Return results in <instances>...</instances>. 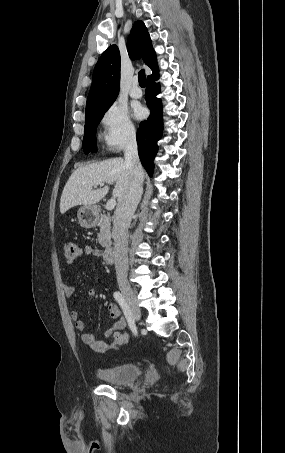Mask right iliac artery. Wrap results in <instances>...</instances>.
Wrapping results in <instances>:
<instances>
[{
  "mask_svg": "<svg viewBox=\"0 0 285 453\" xmlns=\"http://www.w3.org/2000/svg\"><path fill=\"white\" fill-rule=\"evenodd\" d=\"M114 298L118 302V304L121 306L131 331L134 333V335H136L137 328H136L131 310H130L127 302L125 301L123 295L120 292L116 291V292H114Z\"/></svg>",
  "mask_w": 285,
  "mask_h": 453,
  "instance_id": "obj_1",
  "label": "right iliac artery"
}]
</instances>
